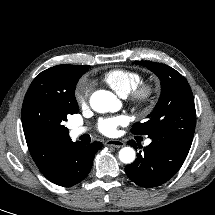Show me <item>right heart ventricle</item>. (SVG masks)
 <instances>
[{"instance_id": "right-heart-ventricle-1", "label": "right heart ventricle", "mask_w": 215, "mask_h": 215, "mask_svg": "<svg viewBox=\"0 0 215 215\" xmlns=\"http://www.w3.org/2000/svg\"><path fill=\"white\" fill-rule=\"evenodd\" d=\"M142 79L138 71L123 68L111 69L102 76V81L122 97L127 96Z\"/></svg>"}]
</instances>
